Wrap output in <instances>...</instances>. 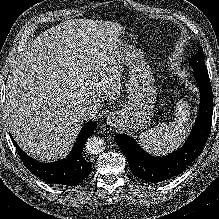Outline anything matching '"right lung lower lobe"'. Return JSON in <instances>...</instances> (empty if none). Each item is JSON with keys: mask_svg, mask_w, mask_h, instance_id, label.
I'll return each instance as SVG.
<instances>
[{"mask_svg": "<svg viewBox=\"0 0 219 219\" xmlns=\"http://www.w3.org/2000/svg\"><path fill=\"white\" fill-rule=\"evenodd\" d=\"M96 127V121L86 123L82 127L76 143L67 158L53 163L36 161L23 152L14 139L11 138L23 164L31 173L51 183L76 186L81 183L91 171L92 163L83 157L82 149L85 141L92 135Z\"/></svg>", "mask_w": 219, "mask_h": 219, "instance_id": "obj_1", "label": "right lung lower lobe"}]
</instances>
